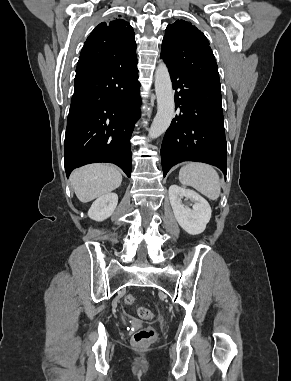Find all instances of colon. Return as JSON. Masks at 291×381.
<instances>
[{"label": "colon", "instance_id": "colon-1", "mask_svg": "<svg viewBox=\"0 0 291 381\" xmlns=\"http://www.w3.org/2000/svg\"><path fill=\"white\" fill-rule=\"evenodd\" d=\"M135 302V298L133 295H126L124 297V303L127 305H132ZM137 314L142 319H152L154 314L152 311L144 306H139L137 308ZM156 339V332L152 328L141 329L133 335L132 341L133 344L138 347H146L151 345Z\"/></svg>", "mask_w": 291, "mask_h": 381}]
</instances>
